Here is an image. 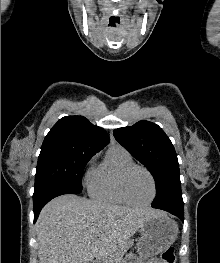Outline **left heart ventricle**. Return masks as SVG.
<instances>
[{"label": "left heart ventricle", "instance_id": "obj_1", "mask_svg": "<svg viewBox=\"0 0 220 263\" xmlns=\"http://www.w3.org/2000/svg\"><path fill=\"white\" fill-rule=\"evenodd\" d=\"M127 190L135 202L143 203L152 196V183L149 176L142 170H134L127 181Z\"/></svg>", "mask_w": 220, "mask_h": 263}]
</instances>
